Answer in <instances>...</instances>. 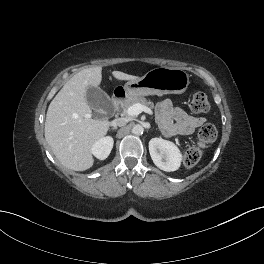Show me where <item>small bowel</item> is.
I'll return each mask as SVG.
<instances>
[{"mask_svg":"<svg viewBox=\"0 0 264 264\" xmlns=\"http://www.w3.org/2000/svg\"><path fill=\"white\" fill-rule=\"evenodd\" d=\"M157 112L159 125L166 136L190 135L206 121L204 117L188 114L169 100L160 102Z\"/></svg>","mask_w":264,"mask_h":264,"instance_id":"small-bowel-1","label":"small bowel"}]
</instances>
